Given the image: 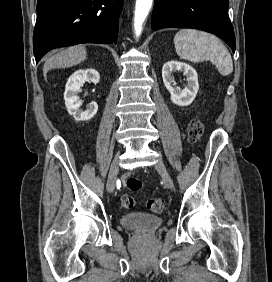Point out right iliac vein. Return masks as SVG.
<instances>
[{"label":"right iliac vein","instance_id":"63e3f726","mask_svg":"<svg viewBox=\"0 0 272 282\" xmlns=\"http://www.w3.org/2000/svg\"><path fill=\"white\" fill-rule=\"evenodd\" d=\"M119 170V156L117 155L114 160L112 161L108 179H107V191L112 193L115 189L116 185V176Z\"/></svg>","mask_w":272,"mask_h":282}]
</instances>
